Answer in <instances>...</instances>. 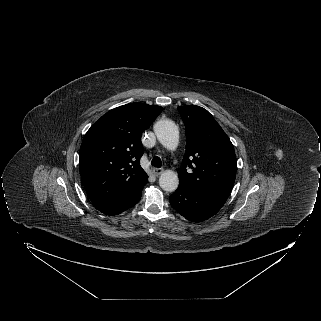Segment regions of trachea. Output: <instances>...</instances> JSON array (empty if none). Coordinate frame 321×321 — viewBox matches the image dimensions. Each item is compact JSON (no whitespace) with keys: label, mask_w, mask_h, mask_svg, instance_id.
I'll return each mask as SVG.
<instances>
[{"label":"trachea","mask_w":321,"mask_h":321,"mask_svg":"<svg viewBox=\"0 0 321 321\" xmlns=\"http://www.w3.org/2000/svg\"><path fill=\"white\" fill-rule=\"evenodd\" d=\"M151 165L154 167L160 168L162 165L160 157H158V156L154 157L151 161Z\"/></svg>","instance_id":"3493384b"}]
</instances>
